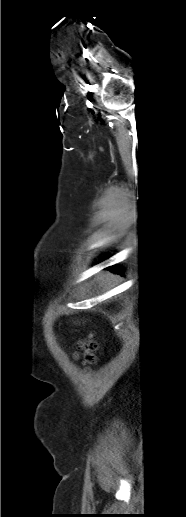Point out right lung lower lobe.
Listing matches in <instances>:
<instances>
[{"label":"right lung lower lobe","mask_w":186,"mask_h":517,"mask_svg":"<svg viewBox=\"0 0 186 517\" xmlns=\"http://www.w3.org/2000/svg\"><path fill=\"white\" fill-rule=\"evenodd\" d=\"M114 270H115V272H117V273H120V272H121L118 268H115Z\"/></svg>","instance_id":"right-lung-lower-lobe-1"}]
</instances>
